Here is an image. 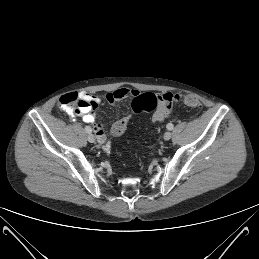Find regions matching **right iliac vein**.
<instances>
[{
  "label": "right iliac vein",
  "mask_w": 259,
  "mask_h": 259,
  "mask_svg": "<svg viewBox=\"0 0 259 259\" xmlns=\"http://www.w3.org/2000/svg\"><path fill=\"white\" fill-rule=\"evenodd\" d=\"M87 139L90 143H94L95 142V136L92 133H89L87 136Z\"/></svg>",
  "instance_id": "1"
}]
</instances>
